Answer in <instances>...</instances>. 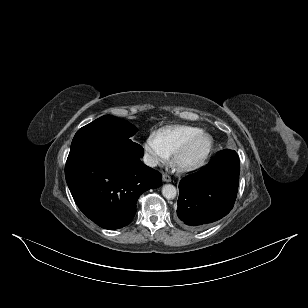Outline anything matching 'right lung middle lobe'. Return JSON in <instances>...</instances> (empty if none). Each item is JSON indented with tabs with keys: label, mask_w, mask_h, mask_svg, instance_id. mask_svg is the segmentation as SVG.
<instances>
[{
	"label": "right lung middle lobe",
	"mask_w": 308,
	"mask_h": 308,
	"mask_svg": "<svg viewBox=\"0 0 308 308\" xmlns=\"http://www.w3.org/2000/svg\"><path fill=\"white\" fill-rule=\"evenodd\" d=\"M136 132L137 128L125 120L102 116L77 131L70 153L89 148H114L142 157L143 147L130 139Z\"/></svg>",
	"instance_id": "obj_1"
}]
</instances>
